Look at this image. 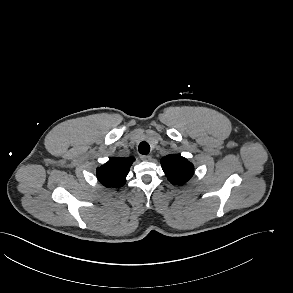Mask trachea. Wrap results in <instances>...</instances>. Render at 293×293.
I'll return each mask as SVG.
<instances>
[{
	"mask_svg": "<svg viewBox=\"0 0 293 293\" xmlns=\"http://www.w3.org/2000/svg\"><path fill=\"white\" fill-rule=\"evenodd\" d=\"M138 150L140 154L147 155L150 152V145L147 142H141Z\"/></svg>",
	"mask_w": 293,
	"mask_h": 293,
	"instance_id": "trachea-1",
	"label": "trachea"
}]
</instances>
